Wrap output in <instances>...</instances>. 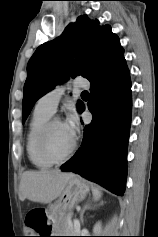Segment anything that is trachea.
Here are the masks:
<instances>
[{"mask_svg": "<svg viewBox=\"0 0 158 237\" xmlns=\"http://www.w3.org/2000/svg\"><path fill=\"white\" fill-rule=\"evenodd\" d=\"M82 96H89V93L87 91H83Z\"/></svg>", "mask_w": 158, "mask_h": 237, "instance_id": "obj_1", "label": "trachea"}]
</instances>
